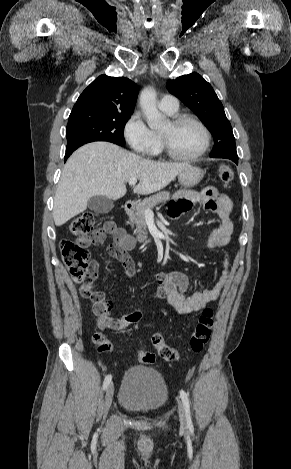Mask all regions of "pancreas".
I'll return each mask as SVG.
<instances>
[{
    "label": "pancreas",
    "instance_id": "cf45deb5",
    "mask_svg": "<svg viewBox=\"0 0 291 469\" xmlns=\"http://www.w3.org/2000/svg\"><path fill=\"white\" fill-rule=\"evenodd\" d=\"M170 198V193L167 191L159 192L149 198L144 199L142 202L138 203L136 206L135 213L130 216V224L133 227L136 225V230L134 234H137L139 242H147V231H146V222H145V211L151 209L160 203H165Z\"/></svg>",
    "mask_w": 291,
    "mask_h": 469
}]
</instances>
